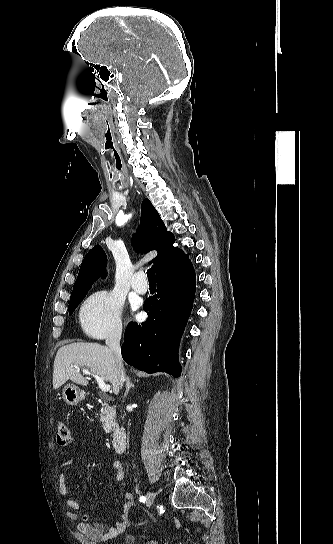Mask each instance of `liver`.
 Instances as JSON below:
<instances>
[{"mask_svg": "<svg viewBox=\"0 0 333 544\" xmlns=\"http://www.w3.org/2000/svg\"><path fill=\"white\" fill-rule=\"evenodd\" d=\"M74 365L86 366L91 372L102 377L112 385L118 395L120 385L113 351L98 343H71L60 347L54 360L53 389H58L67 380L87 386L88 381L75 369Z\"/></svg>", "mask_w": 333, "mask_h": 544, "instance_id": "obj_1", "label": "liver"}]
</instances>
